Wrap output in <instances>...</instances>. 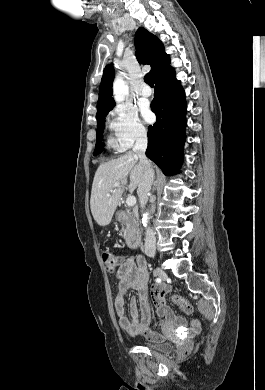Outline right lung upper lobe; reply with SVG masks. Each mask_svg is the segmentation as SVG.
Returning <instances> with one entry per match:
<instances>
[{
	"mask_svg": "<svg viewBox=\"0 0 265 390\" xmlns=\"http://www.w3.org/2000/svg\"><path fill=\"white\" fill-rule=\"evenodd\" d=\"M135 48L137 59L142 64L151 66L150 74L155 79L163 70L170 67V58L164 52L161 41L145 28L140 27L135 34ZM114 79V68L107 65L103 71V76L99 88V98L97 102V118L109 112L115 101L112 93V83Z\"/></svg>",
	"mask_w": 265,
	"mask_h": 390,
	"instance_id": "1",
	"label": "right lung upper lobe"
}]
</instances>
